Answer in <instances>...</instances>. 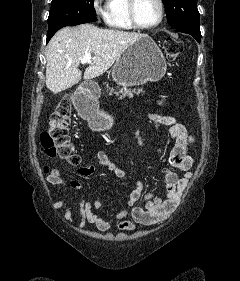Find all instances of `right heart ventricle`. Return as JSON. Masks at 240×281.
<instances>
[{
	"label": "right heart ventricle",
	"instance_id": "e07e8e85",
	"mask_svg": "<svg viewBox=\"0 0 240 281\" xmlns=\"http://www.w3.org/2000/svg\"><path fill=\"white\" fill-rule=\"evenodd\" d=\"M106 24L117 30H132L128 14V0H107L106 3Z\"/></svg>",
	"mask_w": 240,
	"mask_h": 281
}]
</instances>
